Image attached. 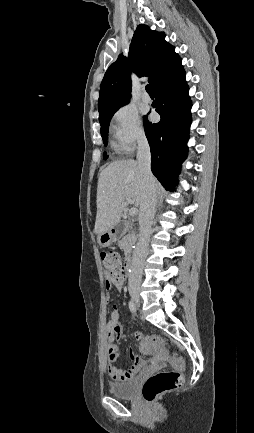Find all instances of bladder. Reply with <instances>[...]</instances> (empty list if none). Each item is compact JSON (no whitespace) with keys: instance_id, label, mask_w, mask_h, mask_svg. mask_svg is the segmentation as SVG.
Instances as JSON below:
<instances>
[{"instance_id":"31cf9c89","label":"bladder","mask_w":254,"mask_h":433,"mask_svg":"<svg viewBox=\"0 0 254 433\" xmlns=\"http://www.w3.org/2000/svg\"><path fill=\"white\" fill-rule=\"evenodd\" d=\"M138 385L137 378H131L122 382H111L108 385L109 392L122 399H131L135 396Z\"/></svg>"}]
</instances>
